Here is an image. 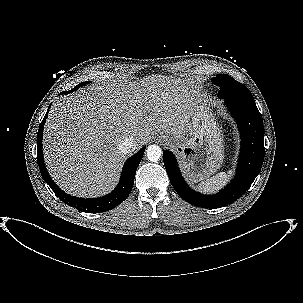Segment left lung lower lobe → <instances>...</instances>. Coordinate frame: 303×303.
<instances>
[{
	"label": "left lung lower lobe",
	"instance_id": "obj_1",
	"mask_svg": "<svg viewBox=\"0 0 303 303\" xmlns=\"http://www.w3.org/2000/svg\"><path fill=\"white\" fill-rule=\"evenodd\" d=\"M220 98L225 99L226 106L235 118L241 135L237 172L228 186L215 195L195 192L184 181L174 155L168 150L163 152L168 177L178 195L188 203L201 208L216 209L238 199L249 189L259 174L264 160V126L254 99L231 95Z\"/></svg>",
	"mask_w": 303,
	"mask_h": 303
}]
</instances>
